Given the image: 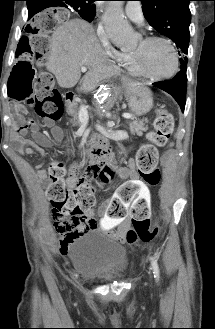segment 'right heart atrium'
Masks as SVG:
<instances>
[{
    "label": "right heart atrium",
    "instance_id": "1",
    "mask_svg": "<svg viewBox=\"0 0 215 329\" xmlns=\"http://www.w3.org/2000/svg\"><path fill=\"white\" fill-rule=\"evenodd\" d=\"M97 35L106 52L114 59L119 60L120 52L111 44V41L102 25L97 28Z\"/></svg>",
    "mask_w": 215,
    "mask_h": 329
}]
</instances>
